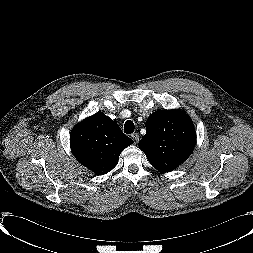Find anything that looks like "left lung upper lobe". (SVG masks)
Returning <instances> with one entry per match:
<instances>
[{"instance_id": "5c2ea615", "label": "left lung upper lobe", "mask_w": 253, "mask_h": 253, "mask_svg": "<svg viewBox=\"0 0 253 253\" xmlns=\"http://www.w3.org/2000/svg\"><path fill=\"white\" fill-rule=\"evenodd\" d=\"M140 149L150 164L161 172L177 168L192 153L196 132L191 119L181 110H158L146 121Z\"/></svg>"}]
</instances>
